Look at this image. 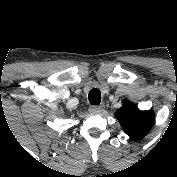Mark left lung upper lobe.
Wrapping results in <instances>:
<instances>
[{"mask_svg": "<svg viewBox=\"0 0 177 177\" xmlns=\"http://www.w3.org/2000/svg\"><path fill=\"white\" fill-rule=\"evenodd\" d=\"M116 118L128 136L139 140L152 128L155 115L153 111H141L134 103L127 102L116 111Z\"/></svg>", "mask_w": 177, "mask_h": 177, "instance_id": "1", "label": "left lung upper lobe"}]
</instances>
